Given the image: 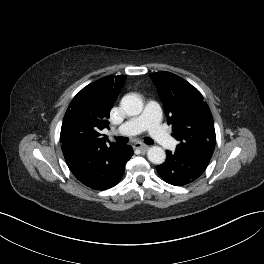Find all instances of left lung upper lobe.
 Here are the masks:
<instances>
[{
  "mask_svg": "<svg viewBox=\"0 0 264 264\" xmlns=\"http://www.w3.org/2000/svg\"><path fill=\"white\" fill-rule=\"evenodd\" d=\"M157 87L173 136L180 142L176 152L210 159L216 142L211 111L201 93L170 72L149 75Z\"/></svg>",
  "mask_w": 264,
  "mask_h": 264,
  "instance_id": "left-lung-upper-lobe-1",
  "label": "left lung upper lobe"
}]
</instances>
